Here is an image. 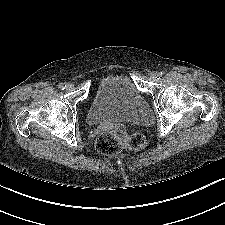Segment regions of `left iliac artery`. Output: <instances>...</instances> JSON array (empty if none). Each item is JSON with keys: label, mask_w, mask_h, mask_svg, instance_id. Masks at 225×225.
Returning a JSON list of instances; mask_svg holds the SVG:
<instances>
[{"label": "left iliac artery", "mask_w": 225, "mask_h": 225, "mask_svg": "<svg viewBox=\"0 0 225 225\" xmlns=\"http://www.w3.org/2000/svg\"><path fill=\"white\" fill-rule=\"evenodd\" d=\"M165 74V71H161V73H160V76H162V75H164ZM159 76V77H160Z\"/></svg>", "instance_id": "left-iliac-artery-1"}]
</instances>
